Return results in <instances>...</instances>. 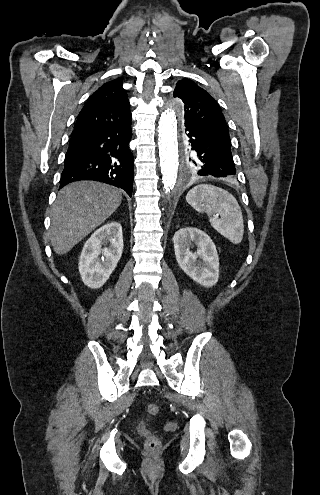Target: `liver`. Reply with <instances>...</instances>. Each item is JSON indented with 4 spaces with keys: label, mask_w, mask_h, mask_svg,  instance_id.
<instances>
[{
    "label": "liver",
    "mask_w": 320,
    "mask_h": 495,
    "mask_svg": "<svg viewBox=\"0 0 320 495\" xmlns=\"http://www.w3.org/2000/svg\"><path fill=\"white\" fill-rule=\"evenodd\" d=\"M122 201V193L112 186L77 181L62 188L51 213V246L65 254L109 218Z\"/></svg>",
    "instance_id": "1"
}]
</instances>
